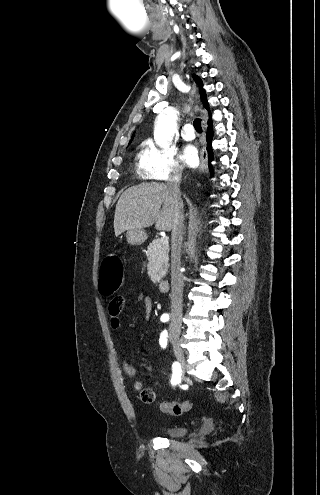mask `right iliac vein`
Returning <instances> with one entry per match:
<instances>
[{
  "instance_id": "1",
  "label": "right iliac vein",
  "mask_w": 320,
  "mask_h": 495,
  "mask_svg": "<svg viewBox=\"0 0 320 495\" xmlns=\"http://www.w3.org/2000/svg\"><path fill=\"white\" fill-rule=\"evenodd\" d=\"M170 340H171V343L173 345L174 354H175L176 358L178 359L179 363L181 364L182 370H184L185 356H184V352L180 346L178 334H172L170 337Z\"/></svg>"
}]
</instances>
